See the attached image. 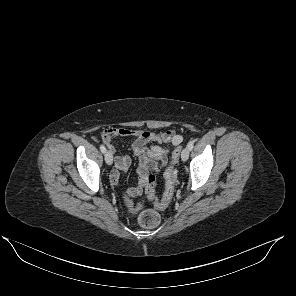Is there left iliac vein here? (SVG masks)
Instances as JSON below:
<instances>
[{"instance_id": "4c4485c4", "label": "left iliac vein", "mask_w": 296, "mask_h": 296, "mask_svg": "<svg viewBox=\"0 0 296 296\" xmlns=\"http://www.w3.org/2000/svg\"><path fill=\"white\" fill-rule=\"evenodd\" d=\"M189 153H190V150L188 149V147L184 148L182 153H181V159L182 161H187L188 158H189Z\"/></svg>"}]
</instances>
